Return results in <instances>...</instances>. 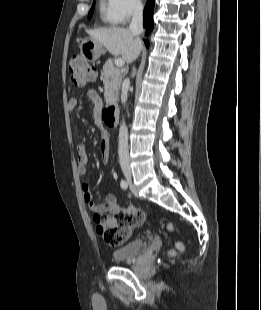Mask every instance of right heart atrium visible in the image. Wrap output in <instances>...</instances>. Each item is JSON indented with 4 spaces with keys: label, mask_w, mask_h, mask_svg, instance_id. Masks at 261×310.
I'll list each match as a JSON object with an SVG mask.
<instances>
[{
    "label": "right heart atrium",
    "mask_w": 261,
    "mask_h": 310,
    "mask_svg": "<svg viewBox=\"0 0 261 310\" xmlns=\"http://www.w3.org/2000/svg\"><path fill=\"white\" fill-rule=\"evenodd\" d=\"M113 10L118 24H126L143 11L141 0H113Z\"/></svg>",
    "instance_id": "1"
}]
</instances>
